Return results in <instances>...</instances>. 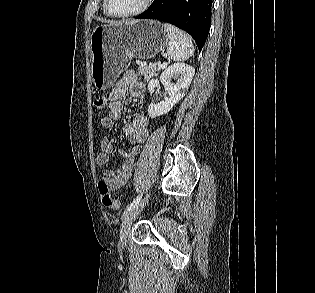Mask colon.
I'll return each mask as SVG.
<instances>
[{
    "instance_id": "1",
    "label": "colon",
    "mask_w": 315,
    "mask_h": 293,
    "mask_svg": "<svg viewBox=\"0 0 315 293\" xmlns=\"http://www.w3.org/2000/svg\"><path fill=\"white\" fill-rule=\"evenodd\" d=\"M108 103V99L105 95H100L94 100V105L98 109H103ZM99 193L101 197L102 204L110 209H118L120 207V202L115 199L106 184L105 181H100L98 184Z\"/></svg>"
}]
</instances>
